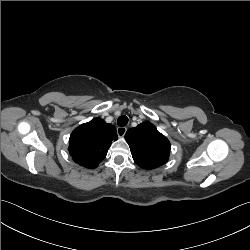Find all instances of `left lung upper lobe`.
<instances>
[{
  "label": "left lung upper lobe",
  "instance_id": "obj_1",
  "mask_svg": "<svg viewBox=\"0 0 250 250\" xmlns=\"http://www.w3.org/2000/svg\"><path fill=\"white\" fill-rule=\"evenodd\" d=\"M136 164L153 169L166 163L170 153V142L149 122L129 129L125 134Z\"/></svg>",
  "mask_w": 250,
  "mask_h": 250
}]
</instances>
